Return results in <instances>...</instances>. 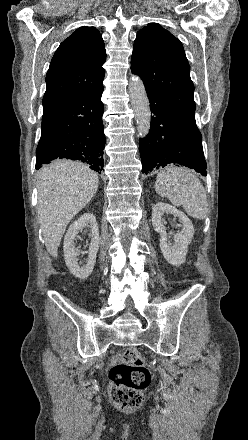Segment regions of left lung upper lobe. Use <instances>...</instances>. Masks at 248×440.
Listing matches in <instances>:
<instances>
[{
  "instance_id": "obj_1",
  "label": "left lung upper lobe",
  "mask_w": 248,
  "mask_h": 440,
  "mask_svg": "<svg viewBox=\"0 0 248 440\" xmlns=\"http://www.w3.org/2000/svg\"><path fill=\"white\" fill-rule=\"evenodd\" d=\"M131 70L141 77L147 92L159 94L195 118L194 85L182 43L161 25L149 23L137 32Z\"/></svg>"
}]
</instances>
